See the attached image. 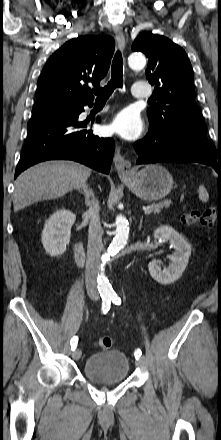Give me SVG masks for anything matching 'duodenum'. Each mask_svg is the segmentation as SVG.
<instances>
[{"label":"duodenum","instance_id":"obj_1","mask_svg":"<svg viewBox=\"0 0 221 440\" xmlns=\"http://www.w3.org/2000/svg\"><path fill=\"white\" fill-rule=\"evenodd\" d=\"M74 257L78 265H83L86 260V254L82 244L77 243L74 248Z\"/></svg>","mask_w":221,"mask_h":440}]
</instances>
